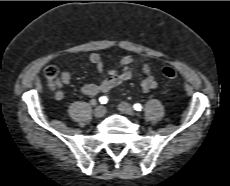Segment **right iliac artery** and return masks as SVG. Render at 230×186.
I'll return each instance as SVG.
<instances>
[{
	"label": "right iliac artery",
	"instance_id": "1",
	"mask_svg": "<svg viewBox=\"0 0 230 186\" xmlns=\"http://www.w3.org/2000/svg\"><path fill=\"white\" fill-rule=\"evenodd\" d=\"M99 101L101 104H106L108 101V98H107V96H102V97H100Z\"/></svg>",
	"mask_w": 230,
	"mask_h": 186
}]
</instances>
